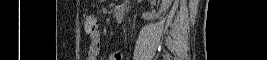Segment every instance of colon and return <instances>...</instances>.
Returning <instances> with one entry per match:
<instances>
[{"mask_svg":"<svg viewBox=\"0 0 267 60\" xmlns=\"http://www.w3.org/2000/svg\"><path fill=\"white\" fill-rule=\"evenodd\" d=\"M98 28V19L93 14H87L84 18V29L87 34H94Z\"/></svg>","mask_w":267,"mask_h":60,"instance_id":"5ec220e1","label":"colon"}]
</instances>
